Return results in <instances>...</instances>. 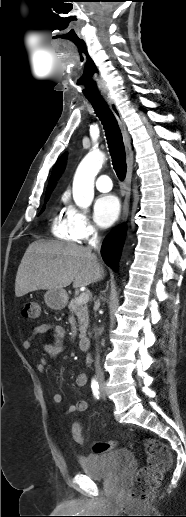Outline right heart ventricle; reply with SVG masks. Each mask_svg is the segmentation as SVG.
<instances>
[{"mask_svg":"<svg viewBox=\"0 0 186 517\" xmlns=\"http://www.w3.org/2000/svg\"><path fill=\"white\" fill-rule=\"evenodd\" d=\"M51 231L53 235L59 239L75 242L77 239L75 238L69 222L62 212L56 213L51 222Z\"/></svg>","mask_w":186,"mask_h":517,"instance_id":"e07e8e85","label":"right heart ventricle"}]
</instances>
